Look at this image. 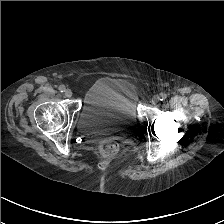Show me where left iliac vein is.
Segmentation results:
<instances>
[{
  "label": "left iliac vein",
  "mask_w": 224,
  "mask_h": 224,
  "mask_svg": "<svg viewBox=\"0 0 224 224\" xmlns=\"http://www.w3.org/2000/svg\"><path fill=\"white\" fill-rule=\"evenodd\" d=\"M158 101H159V98L158 97H153L152 98V103L153 104H156Z\"/></svg>",
  "instance_id": "4c4485c4"
}]
</instances>
